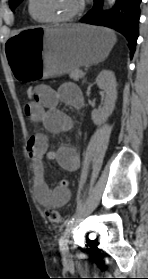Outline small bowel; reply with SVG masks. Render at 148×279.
<instances>
[{
	"instance_id": "small-bowel-1",
	"label": "small bowel",
	"mask_w": 148,
	"mask_h": 279,
	"mask_svg": "<svg viewBox=\"0 0 148 279\" xmlns=\"http://www.w3.org/2000/svg\"><path fill=\"white\" fill-rule=\"evenodd\" d=\"M37 96L25 105L27 118L33 123H42L46 130L60 134L70 130L73 121L63 112L59 103L79 108L82 95L77 86L72 83L62 85L54 90L47 85L36 87ZM27 151L33 162L34 194L37 201L48 208H58L70 199L69 181L62 180L55 185H49L44 176V160L57 162L68 171L77 170L80 165L78 152L70 145H62L57 150L48 148L47 137L36 134L28 140Z\"/></svg>"
}]
</instances>
